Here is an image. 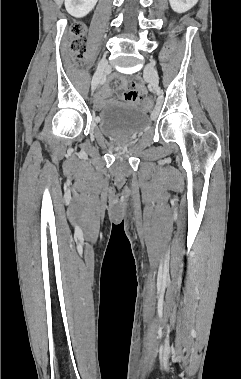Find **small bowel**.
<instances>
[{
	"label": "small bowel",
	"instance_id": "obj_1",
	"mask_svg": "<svg viewBox=\"0 0 241 379\" xmlns=\"http://www.w3.org/2000/svg\"><path fill=\"white\" fill-rule=\"evenodd\" d=\"M128 87L130 89H128ZM121 88L123 90L122 98L129 103H139L142 105V98H144L143 90H135L137 88V83L135 81H121ZM111 91L106 84L95 97L94 106L96 110L102 109L106 105V98L109 97Z\"/></svg>",
	"mask_w": 241,
	"mask_h": 379
}]
</instances>
